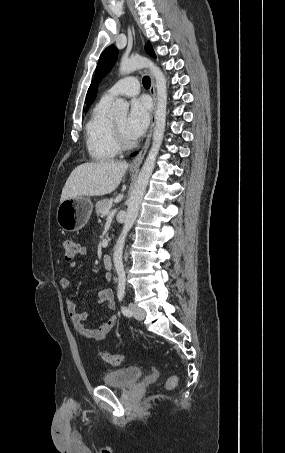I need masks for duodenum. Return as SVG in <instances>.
<instances>
[{"label":"duodenum","mask_w":285,"mask_h":453,"mask_svg":"<svg viewBox=\"0 0 285 453\" xmlns=\"http://www.w3.org/2000/svg\"><path fill=\"white\" fill-rule=\"evenodd\" d=\"M103 264H104L106 269H111L112 268L113 262H112L111 255L105 254L103 256Z\"/></svg>","instance_id":"obj_1"}]
</instances>
